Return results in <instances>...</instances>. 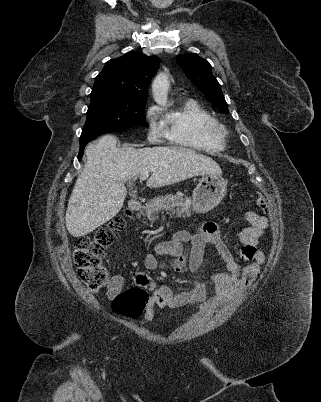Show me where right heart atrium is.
Masks as SVG:
<instances>
[{"instance_id":"d8ad5b80","label":"right heart atrium","mask_w":321,"mask_h":402,"mask_svg":"<svg viewBox=\"0 0 321 402\" xmlns=\"http://www.w3.org/2000/svg\"><path fill=\"white\" fill-rule=\"evenodd\" d=\"M160 115V109L155 106H149L145 111V120L149 124L148 138L151 141H159L162 136L161 126L157 123Z\"/></svg>"}]
</instances>
